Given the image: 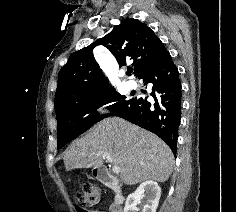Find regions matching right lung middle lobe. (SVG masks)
Masks as SVG:
<instances>
[{
  "mask_svg": "<svg viewBox=\"0 0 236 212\" xmlns=\"http://www.w3.org/2000/svg\"><path fill=\"white\" fill-rule=\"evenodd\" d=\"M125 98V96L120 95L112 89L82 97L63 109L56 111L58 122L57 148L60 149L71 140L87 131L91 125L104 117L113 115L117 110L132 101V99L125 100ZM108 103H113L107 107L113 112L112 114L100 116L94 112L99 106Z\"/></svg>",
  "mask_w": 236,
  "mask_h": 212,
  "instance_id": "1",
  "label": "right lung middle lobe"
}]
</instances>
